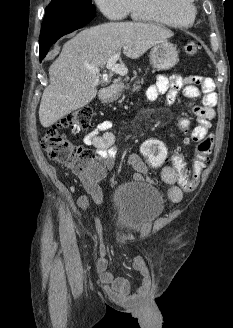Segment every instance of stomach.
Masks as SVG:
<instances>
[{
  "instance_id": "obj_1",
  "label": "stomach",
  "mask_w": 233,
  "mask_h": 328,
  "mask_svg": "<svg viewBox=\"0 0 233 328\" xmlns=\"http://www.w3.org/2000/svg\"><path fill=\"white\" fill-rule=\"evenodd\" d=\"M178 60L176 47L167 40L154 45L150 51V63L158 70H168L174 67Z\"/></svg>"
}]
</instances>
